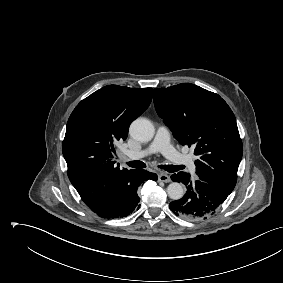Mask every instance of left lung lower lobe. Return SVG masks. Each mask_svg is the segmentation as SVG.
<instances>
[{"instance_id":"obj_1","label":"left lung lower lobe","mask_w":283,"mask_h":283,"mask_svg":"<svg viewBox=\"0 0 283 283\" xmlns=\"http://www.w3.org/2000/svg\"><path fill=\"white\" fill-rule=\"evenodd\" d=\"M172 181L182 182L187 187L186 194L169 204L170 210L186 220H202L213 215L226 200L229 193L201 180H190V175L178 172L171 176Z\"/></svg>"}]
</instances>
